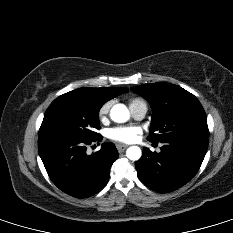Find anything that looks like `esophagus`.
Instances as JSON below:
<instances>
[{
  "instance_id": "1",
  "label": "esophagus",
  "mask_w": 233,
  "mask_h": 233,
  "mask_svg": "<svg viewBox=\"0 0 233 233\" xmlns=\"http://www.w3.org/2000/svg\"><path fill=\"white\" fill-rule=\"evenodd\" d=\"M127 147H128L127 145L118 144L117 145V150L119 152H123Z\"/></svg>"
}]
</instances>
